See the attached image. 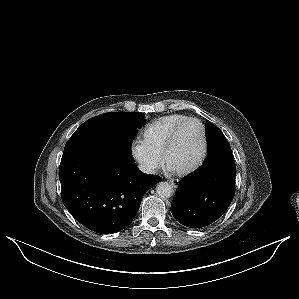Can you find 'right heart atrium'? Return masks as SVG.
I'll list each match as a JSON object with an SVG mask.
<instances>
[{
    "mask_svg": "<svg viewBox=\"0 0 299 299\" xmlns=\"http://www.w3.org/2000/svg\"><path fill=\"white\" fill-rule=\"evenodd\" d=\"M131 154L146 173L155 172L161 165L159 157L150 153L144 142L135 141L131 146Z\"/></svg>",
    "mask_w": 299,
    "mask_h": 299,
    "instance_id": "d8ad5b80",
    "label": "right heart atrium"
}]
</instances>
